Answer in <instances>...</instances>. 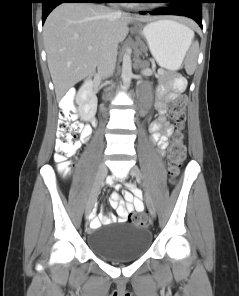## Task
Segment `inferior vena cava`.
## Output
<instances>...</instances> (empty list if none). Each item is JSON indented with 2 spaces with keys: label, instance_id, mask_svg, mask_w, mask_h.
Wrapping results in <instances>:
<instances>
[{
  "label": "inferior vena cava",
  "instance_id": "1",
  "mask_svg": "<svg viewBox=\"0 0 239 296\" xmlns=\"http://www.w3.org/2000/svg\"><path fill=\"white\" fill-rule=\"evenodd\" d=\"M115 15H121L120 10H115ZM117 43H108L100 50L98 57V73L102 78H108L113 75L117 58Z\"/></svg>",
  "mask_w": 239,
  "mask_h": 296
}]
</instances>
